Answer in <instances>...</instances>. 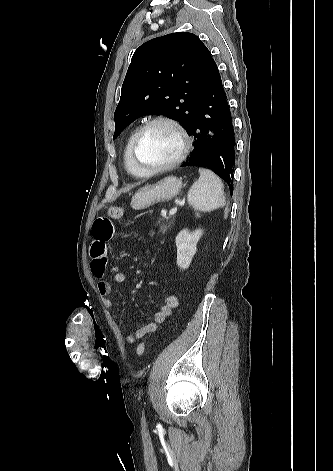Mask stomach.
Returning a JSON list of instances; mask_svg holds the SVG:
<instances>
[{"label":"stomach","mask_w":333,"mask_h":471,"mask_svg":"<svg viewBox=\"0 0 333 471\" xmlns=\"http://www.w3.org/2000/svg\"><path fill=\"white\" fill-rule=\"evenodd\" d=\"M182 186L181 179L168 176L156 184L138 189L132 196L130 205L135 210H143L156 203L169 201L179 194Z\"/></svg>","instance_id":"0dacf381"}]
</instances>
